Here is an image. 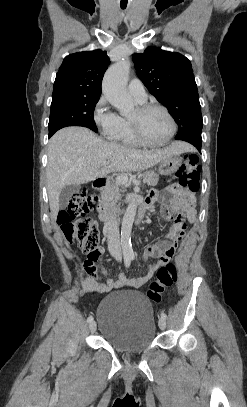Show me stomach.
Here are the masks:
<instances>
[{"label":"stomach","instance_id":"obj_1","mask_svg":"<svg viewBox=\"0 0 247 407\" xmlns=\"http://www.w3.org/2000/svg\"><path fill=\"white\" fill-rule=\"evenodd\" d=\"M182 164V158L179 155L166 157L160 162L159 173L161 175H171L175 173Z\"/></svg>","mask_w":247,"mask_h":407}]
</instances>
